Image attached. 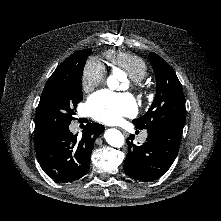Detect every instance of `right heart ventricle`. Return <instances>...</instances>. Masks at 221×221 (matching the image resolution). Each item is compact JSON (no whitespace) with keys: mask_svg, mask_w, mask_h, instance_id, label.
Instances as JSON below:
<instances>
[{"mask_svg":"<svg viewBox=\"0 0 221 221\" xmlns=\"http://www.w3.org/2000/svg\"><path fill=\"white\" fill-rule=\"evenodd\" d=\"M114 69L124 71L131 80L141 82L148 73L146 62L139 56L124 51H109L105 54Z\"/></svg>","mask_w":221,"mask_h":221,"instance_id":"right-heart-ventricle-1","label":"right heart ventricle"}]
</instances>
